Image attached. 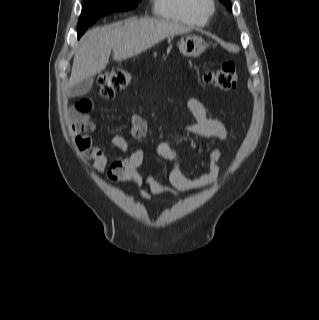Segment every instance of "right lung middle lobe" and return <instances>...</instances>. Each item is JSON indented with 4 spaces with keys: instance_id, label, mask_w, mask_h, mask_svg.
I'll use <instances>...</instances> for the list:
<instances>
[{
    "instance_id": "1",
    "label": "right lung middle lobe",
    "mask_w": 319,
    "mask_h": 320,
    "mask_svg": "<svg viewBox=\"0 0 319 320\" xmlns=\"http://www.w3.org/2000/svg\"><path fill=\"white\" fill-rule=\"evenodd\" d=\"M141 0H83L77 33L81 36L100 16L133 9Z\"/></svg>"
}]
</instances>
